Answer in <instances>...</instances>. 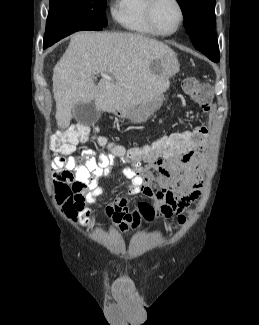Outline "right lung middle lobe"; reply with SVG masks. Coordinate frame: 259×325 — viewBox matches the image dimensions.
<instances>
[{
    "label": "right lung middle lobe",
    "instance_id": "right-lung-middle-lobe-1",
    "mask_svg": "<svg viewBox=\"0 0 259 325\" xmlns=\"http://www.w3.org/2000/svg\"><path fill=\"white\" fill-rule=\"evenodd\" d=\"M106 0H50L43 46L80 30H102Z\"/></svg>",
    "mask_w": 259,
    "mask_h": 325
}]
</instances>
